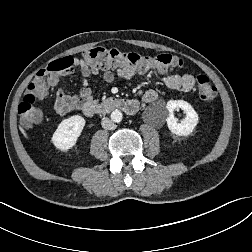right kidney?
I'll return each mask as SVG.
<instances>
[{
    "instance_id": "right-kidney-1",
    "label": "right kidney",
    "mask_w": 252,
    "mask_h": 252,
    "mask_svg": "<svg viewBox=\"0 0 252 252\" xmlns=\"http://www.w3.org/2000/svg\"><path fill=\"white\" fill-rule=\"evenodd\" d=\"M85 123V119L79 115L64 119L53 134L52 143L54 146L62 151L71 149L81 135Z\"/></svg>"
}]
</instances>
